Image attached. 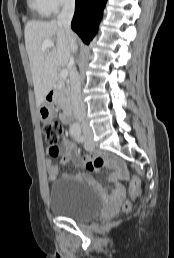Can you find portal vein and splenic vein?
Segmentation results:
<instances>
[{"label": "portal vein and splenic vein", "mask_w": 174, "mask_h": 258, "mask_svg": "<svg viewBox=\"0 0 174 258\" xmlns=\"http://www.w3.org/2000/svg\"><path fill=\"white\" fill-rule=\"evenodd\" d=\"M54 46V43L52 41H44L41 47V50L44 52L48 48H52ZM60 78L65 79L68 76V71L66 69H63L60 74Z\"/></svg>", "instance_id": "portal-vein-and-splenic-vein-1"}]
</instances>
